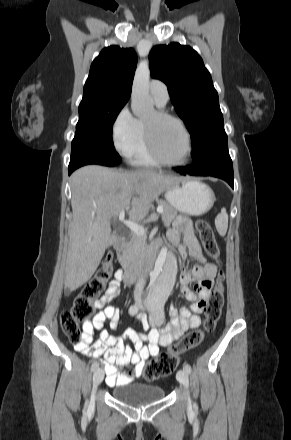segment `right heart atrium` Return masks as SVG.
Masks as SVG:
<instances>
[{"instance_id": "obj_1", "label": "right heart atrium", "mask_w": 291, "mask_h": 440, "mask_svg": "<svg viewBox=\"0 0 291 440\" xmlns=\"http://www.w3.org/2000/svg\"><path fill=\"white\" fill-rule=\"evenodd\" d=\"M138 136V121L128 107H124L117 114L112 125V140L115 149L127 156L133 148Z\"/></svg>"}]
</instances>
